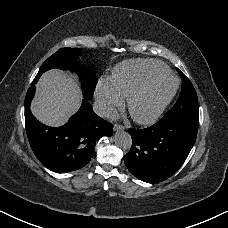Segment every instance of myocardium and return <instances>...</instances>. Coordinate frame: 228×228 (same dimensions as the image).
Instances as JSON below:
<instances>
[{
	"instance_id": "f54148a6",
	"label": "myocardium",
	"mask_w": 228,
	"mask_h": 228,
	"mask_svg": "<svg viewBox=\"0 0 228 228\" xmlns=\"http://www.w3.org/2000/svg\"><path fill=\"white\" fill-rule=\"evenodd\" d=\"M167 79H173L169 76H159V77H153L148 80H146L144 83H142L127 99V108L132 114L135 121L142 125H151L156 122V120L159 118L161 113L164 111L166 106L171 101L176 86L171 90V92L164 98V100L156 107V109L148 116V117H140L136 115L133 111V104L134 102L143 95L154 83L160 81V80H167Z\"/></svg>"
}]
</instances>
